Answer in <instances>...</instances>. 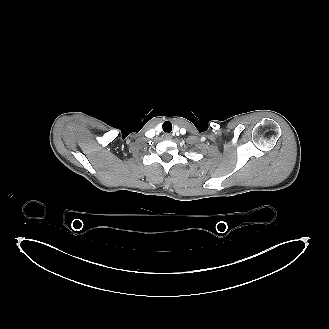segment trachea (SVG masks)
Here are the masks:
<instances>
[{"instance_id":"obj_1","label":"trachea","mask_w":329,"mask_h":329,"mask_svg":"<svg viewBox=\"0 0 329 329\" xmlns=\"http://www.w3.org/2000/svg\"><path fill=\"white\" fill-rule=\"evenodd\" d=\"M163 131L170 133L172 131V124L169 121L163 123Z\"/></svg>"}]
</instances>
